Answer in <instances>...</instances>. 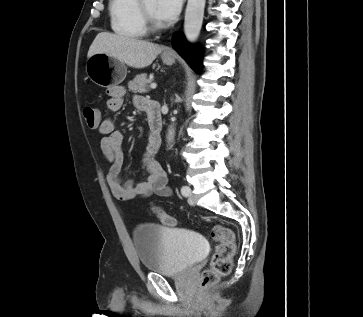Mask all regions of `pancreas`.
<instances>
[{"label": "pancreas", "instance_id": "obj_1", "mask_svg": "<svg viewBox=\"0 0 363 317\" xmlns=\"http://www.w3.org/2000/svg\"><path fill=\"white\" fill-rule=\"evenodd\" d=\"M150 80L147 79V74L142 73L136 75V77L128 83L129 91L133 93H146L149 91Z\"/></svg>", "mask_w": 363, "mask_h": 317}]
</instances>
